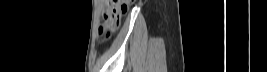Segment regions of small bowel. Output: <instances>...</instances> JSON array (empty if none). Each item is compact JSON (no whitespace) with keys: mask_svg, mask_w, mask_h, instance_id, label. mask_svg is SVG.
<instances>
[{"mask_svg":"<svg viewBox=\"0 0 267 72\" xmlns=\"http://www.w3.org/2000/svg\"><path fill=\"white\" fill-rule=\"evenodd\" d=\"M108 9H109V5H108V7H107V9H106V11H105L104 17H106V15H107V13H108Z\"/></svg>","mask_w":267,"mask_h":72,"instance_id":"obj_1","label":"small bowel"}]
</instances>
